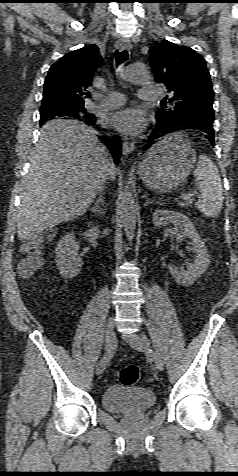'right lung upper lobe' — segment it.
I'll use <instances>...</instances> for the list:
<instances>
[{
  "mask_svg": "<svg viewBox=\"0 0 238 476\" xmlns=\"http://www.w3.org/2000/svg\"><path fill=\"white\" fill-rule=\"evenodd\" d=\"M101 66L102 57L96 45L67 53L51 66L45 79L42 102L84 105L85 99L90 97L88 88L92 77Z\"/></svg>",
  "mask_w": 238,
  "mask_h": 476,
  "instance_id": "cb5924a9",
  "label": "right lung upper lobe"
}]
</instances>
